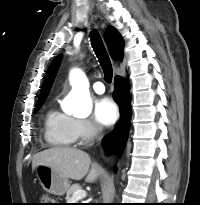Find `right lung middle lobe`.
<instances>
[{
    "mask_svg": "<svg viewBox=\"0 0 200 205\" xmlns=\"http://www.w3.org/2000/svg\"><path fill=\"white\" fill-rule=\"evenodd\" d=\"M45 99H46V98L38 100V102H37V104H36L35 111H37V110L41 107V105L43 104V102L45 101Z\"/></svg>",
    "mask_w": 200,
    "mask_h": 205,
    "instance_id": "dd1d6c3e",
    "label": "right lung middle lobe"
}]
</instances>
